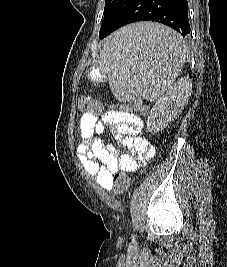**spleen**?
I'll return each mask as SVG.
<instances>
[{"label": "spleen", "mask_w": 227, "mask_h": 267, "mask_svg": "<svg viewBox=\"0 0 227 267\" xmlns=\"http://www.w3.org/2000/svg\"><path fill=\"white\" fill-rule=\"evenodd\" d=\"M116 29L106 42H99L101 55L112 67H106V87H113L119 99L137 95L157 99L172 86L187 57L186 43L174 30L155 22L137 19Z\"/></svg>", "instance_id": "3e777b00"}]
</instances>
